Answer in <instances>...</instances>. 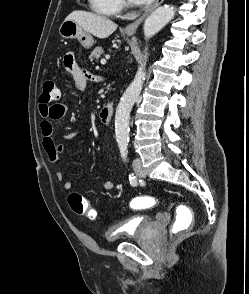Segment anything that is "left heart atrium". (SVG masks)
Returning <instances> with one entry per match:
<instances>
[{
    "label": "left heart atrium",
    "mask_w": 249,
    "mask_h": 294,
    "mask_svg": "<svg viewBox=\"0 0 249 294\" xmlns=\"http://www.w3.org/2000/svg\"><path fill=\"white\" fill-rule=\"evenodd\" d=\"M130 1L136 5H143V4L150 3L152 0H130Z\"/></svg>",
    "instance_id": "obj_1"
}]
</instances>
